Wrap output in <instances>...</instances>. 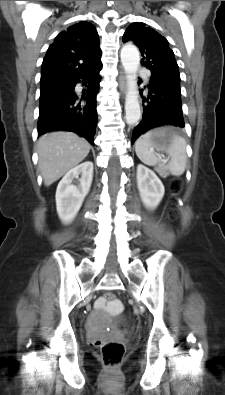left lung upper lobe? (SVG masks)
Instances as JSON below:
<instances>
[{
	"label": "left lung upper lobe",
	"instance_id": "left-lung-upper-lobe-1",
	"mask_svg": "<svg viewBox=\"0 0 225 395\" xmlns=\"http://www.w3.org/2000/svg\"><path fill=\"white\" fill-rule=\"evenodd\" d=\"M133 41L140 49L141 64L152 74H162L180 80V74L173 51L162 35L145 23L131 24L123 35V42Z\"/></svg>",
	"mask_w": 225,
	"mask_h": 395
}]
</instances>
